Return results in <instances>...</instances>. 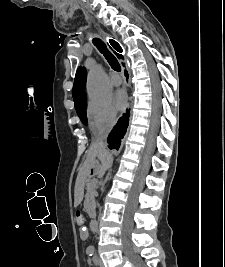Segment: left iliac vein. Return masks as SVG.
Masks as SVG:
<instances>
[{
	"label": "left iliac vein",
	"instance_id": "left-iliac-vein-1",
	"mask_svg": "<svg viewBox=\"0 0 225 267\" xmlns=\"http://www.w3.org/2000/svg\"><path fill=\"white\" fill-rule=\"evenodd\" d=\"M98 265L99 267H104L103 261L101 259H98Z\"/></svg>",
	"mask_w": 225,
	"mask_h": 267
}]
</instances>
